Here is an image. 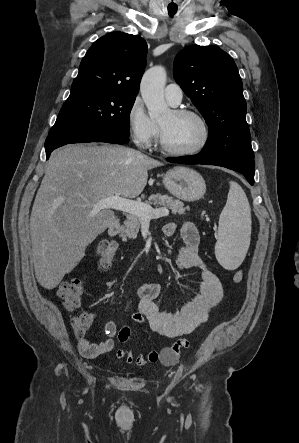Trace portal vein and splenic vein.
<instances>
[{
  "label": "portal vein and splenic vein",
  "instance_id": "obj_1",
  "mask_svg": "<svg viewBox=\"0 0 299 443\" xmlns=\"http://www.w3.org/2000/svg\"><path fill=\"white\" fill-rule=\"evenodd\" d=\"M97 209H115L129 214L139 216L142 220H151L169 215L167 208L153 209L150 205L122 198L120 196H110L101 199L97 205Z\"/></svg>",
  "mask_w": 299,
  "mask_h": 443
}]
</instances>
